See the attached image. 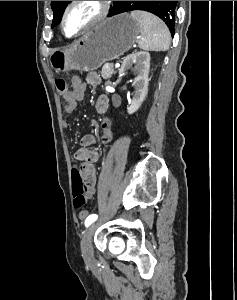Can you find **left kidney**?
<instances>
[{"instance_id": "left-kidney-1", "label": "left kidney", "mask_w": 237, "mask_h": 300, "mask_svg": "<svg viewBox=\"0 0 237 300\" xmlns=\"http://www.w3.org/2000/svg\"><path fill=\"white\" fill-rule=\"evenodd\" d=\"M133 65H135V67H133ZM149 67V53H147V51H139V53H132V55L125 57L121 69H119V75H124L127 69H133V71H136L137 73V77H135L134 83H132L134 87L133 99L130 107L127 109L129 115L136 113L139 107H141L144 99H146L148 93Z\"/></svg>"}]
</instances>
